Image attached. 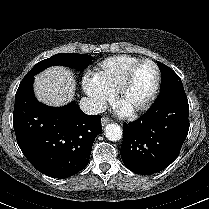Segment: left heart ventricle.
Returning a JSON list of instances; mask_svg holds the SVG:
<instances>
[{
	"label": "left heart ventricle",
	"instance_id": "left-heart-ventricle-1",
	"mask_svg": "<svg viewBox=\"0 0 209 209\" xmlns=\"http://www.w3.org/2000/svg\"><path fill=\"white\" fill-rule=\"evenodd\" d=\"M155 83V70L152 64H140L132 77L131 83L126 90L122 105L130 110L142 105L149 97Z\"/></svg>",
	"mask_w": 209,
	"mask_h": 209
}]
</instances>
